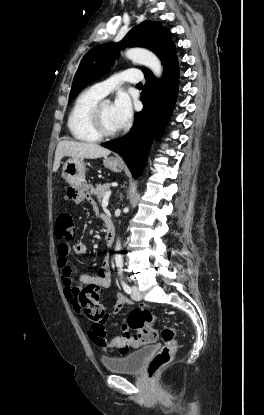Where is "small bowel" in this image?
<instances>
[{"instance_id":"small-bowel-1","label":"small bowel","mask_w":264,"mask_h":415,"mask_svg":"<svg viewBox=\"0 0 264 415\" xmlns=\"http://www.w3.org/2000/svg\"><path fill=\"white\" fill-rule=\"evenodd\" d=\"M95 212L98 214V209L95 208ZM107 213L101 212L100 217L103 222L107 217ZM77 255H84L88 251V246L85 242H78L74 247ZM70 247L61 246L57 252L58 266L62 270V282L64 285V295L67 301L71 304L76 313L82 315V307L80 306L79 298L82 286L86 284L94 285L98 292L103 289L110 287L112 283L111 264L110 256L106 254L103 258L102 264L99 267L95 275L80 274L78 276V284H74L70 274V262H69ZM131 304V300L125 296H119L113 303L108 307L110 313H117L120 310ZM127 330L126 323L120 326V331L124 332ZM89 337L103 349H119L121 354L126 355L130 353V349L123 350L122 346L114 342H105L101 338H98L92 330H87Z\"/></svg>"}]
</instances>
